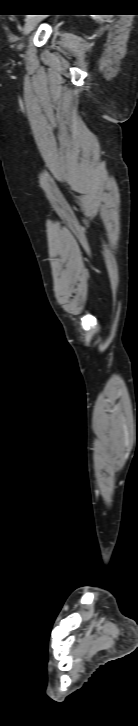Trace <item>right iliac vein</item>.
<instances>
[{
	"label": "right iliac vein",
	"instance_id": "obj_1",
	"mask_svg": "<svg viewBox=\"0 0 138 726\" xmlns=\"http://www.w3.org/2000/svg\"><path fill=\"white\" fill-rule=\"evenodd\" d=\"M40 20L41 18L37 16H32L28 18L23 28V37L28 36ZM19 47L21 48L22 44H20Z\"/></svg>",
	"mask_w": 138,
	"mask_h": 726
}]
</instances>
